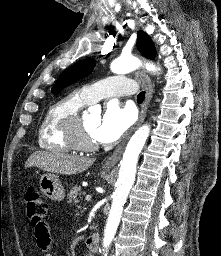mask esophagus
Returning a JSON list of instances; mask_svg holds the SVG:
<instances>
[{"label":"esophagus","instance_id":"1","mask_svg":"<svg viewBox=\"0 0 221 256\" xmlns=\"http://www.w3.org/2000/svg\"><path fill=\"white\" fill-rule=\"evenodd\" d=\"M140 79L142 81V84L145 88L146 91V96H145V100L141 106V111L139 114V119L137 121V123L135 124V126L125 135L124 139L122 140V142L117 146V148L114 150V152L112 153V155L104 162V166L105 167H113L115 166L118 161L120 160L123 151H124V147L126 145L127 140L129 139L130 135L132 134V132L139 126L142 124V122L144 121L145 117H146V113H147V109H148V105L151 101L152 98V94H153V85L151 82V79L149 78V76L144 72L141 71L140 72Z\"/></svg>","mask_w":221,"mask_h":256}]
</instances>
